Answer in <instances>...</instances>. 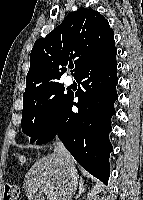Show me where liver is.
<instances>
[{
    "instance_id": "obj_1",
    "label": "liver",
    "mask_w": 143,
    "mask_h": 200,
    "mask_svg": "<svg viewBox=\"0 0 143 200\" xmlns=\"http://www.w3.org/2000/svg\"><path fill=\"white\" fill-rule=\"evenodd\" d=\"M68 183L63 157L54 151L32 165L25 175L24 189L29 198L38 197V189L45 187L51 193L47 195L48 200H67Z\"/></svg>"
}]
</instances>
